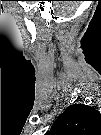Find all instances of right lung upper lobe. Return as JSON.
Returning <instances> with one entry per match:
<instances>
[{
	"mask_svg": "<svg viewBox=\"0 0 101 135\" xmlns=\"http://www.w3.org/2000/svg\"><path fill=\"white\" fill-rule=\"evenodd\" d=\"M96 111L83 104L71 105L55 120L52 129L64 128L69 135H95Z\"/></svg>",
	"mask_w": 101,
	"mask_h": 135,
	"instance_id": "right-lung-upper-lobe-1",
	"label": "right lung upper lobe"
}]
</instances>
